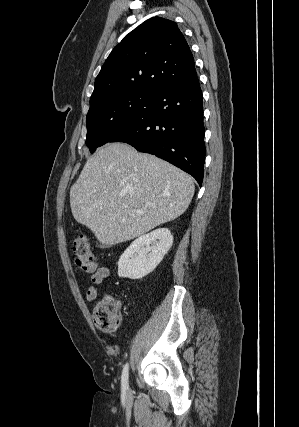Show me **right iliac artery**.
<instances>
[{
	"mask_svg": "<svg viewBox=\"0 0 299 427\" xmlns=\"http://www.w3.org/2000/svg\"><path fill=\"white\" fill-rule=\"evenodd\" d=\"M129 366L128 363L124 366L122 377H121V386L122 390L126 391L128 389V376H129Z\"/></svg>",
	"mask_w": 299,
	"mask_h": 427,
	"instance_id": "obj_1",
	"label": "right iliac artery"
}]
</instances>
